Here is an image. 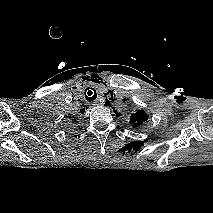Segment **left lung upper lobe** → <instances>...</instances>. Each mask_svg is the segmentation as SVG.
<instances>
[{
    "label": "left lung upper lobe",
    "instance_id": "left-lung-upper-lobe-1",
    "mask_svg": "<svg viewBox=\"0 0 213 213\" xmlns=\"http://www.w3.org/2000/svg\"><path fill=\"white\" fill-rule=\"evenodd\" d=\"M116 113V112H115ZM148 119V115L143 110H138L133 113L130 118V123L134 126H140Z\"/></svg>",
    "mask_w": 213,
    "mask_h": 213
}]
</instances>
